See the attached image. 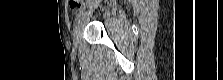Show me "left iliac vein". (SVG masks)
Instances as JSON below:
<instances>
[{
	"label": "left iliac vein",
	"mask_w": 223,
	"mask_h": 80,
	"mask_svg": "<svg viewBox=\"0 0 223 80\" xmlns=\"http://www.w3.org/2000/svg\"><path fill=\"white\" fill-rule=\"evenodd\" d=\"M92 15V10L84 13L81 18L77 21L74 30H73V40L74 44L78 45L79 40L81 38L84 26L89 21L90 17Z\"/></svg>",
	"instance_id": "obj_1"
}]
</instances>
